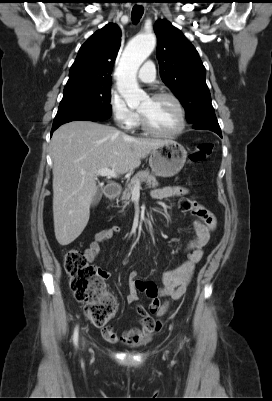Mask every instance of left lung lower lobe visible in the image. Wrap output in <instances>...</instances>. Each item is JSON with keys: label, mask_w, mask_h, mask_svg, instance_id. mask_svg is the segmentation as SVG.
<instances>
[{"label": "left lung lower lobe", "mask_w": 272, "mask_h": 401, "mask_svg": "<svg viewBox=\"0 0 272 401\" xmlns=\"http://www.w3.org/2000/svg\"><path fill=\"white\" fill-rule=\"evenodd\" d=\"M193 128L195 129H204V130H211L215 133H217L220 137H222L221 134V129L218 124V121L215 118H205V119H200L192 123Z\"/></svg>", "instance_id": "1"}]
</instances>
